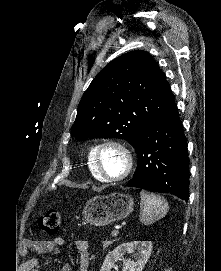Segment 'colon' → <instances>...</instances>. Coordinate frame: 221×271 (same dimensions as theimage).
Segmentation results:
<instances>
[{
	"label": "colon",
	"instance_id": "obj_1",
	"mask_svg": "<svg viewBox=\"0 0 221 271\" xmlns=\"http://www.w3.org/2000/svg\"><path fill=\"white\" fill-rule=\"evenodd\" d=\"M60 224V214L58 211H48L41 215L36 227L40 231L54 234L58 231Z\"/></svg>",
	"mask_w": 221,
	"mask_h": 271
}]
</instances>
